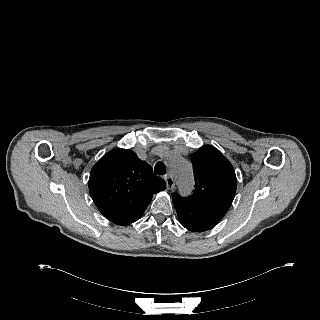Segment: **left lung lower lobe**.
I'll list each match as a JSON object with an SVG mask.
<instances>
[{"instance_id": "left-lung-lower-lobe-1", "label": "left lung lower lobe", "mask_w": 320, "mask_h": 320, "mask_svg": "<svg viewBox=\"0 0 320 320\" xmlns=\"http://www.w3.org/2000/svg\"><path fill=\"white\" fill-rule=\"evenodd\" d=\"M180 223L193 232H203L212 229L225 215L224 213L210 210L191 204L179 198H173Z\"/></svg>"}]
</instances>
